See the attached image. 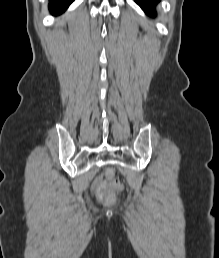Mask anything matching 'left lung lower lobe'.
Returning a JSON list of instances; mask_svg holds the SVG:
<instances>
[{
  "instance_id": "obj_1",
  "label": "left lung lower lobe",
  "mask_w": 219,
  "mask_h": 258,
  "mask_svg": "<svg viewBox=\"0 0 219 258\" xmlns=\"http://www.w3.org/2000/svg\"><path fill=\"white\" fill-rule=\"evenodd\" d=\"M137 4L141 6V8L146 12V14L150 16L155 15V5L160 0H135Z\"/></svg>"
}]
</instances>
